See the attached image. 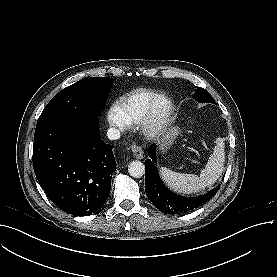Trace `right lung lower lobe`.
<instances>
[{"instance_id":"98d812e1","label":"right lung lower lobe","mask_w":277,"mask_h":277,"mask_svg":"<svg viewBox=\"0 0 277 277\" xmlns=\"http://www.w3.org/2000/svg\"><path fill=\"white\" fill-rule=\"evenodd\" d=\"M96 116L37 123L33 168L48 197L61 210L89 216L106 201L116 162L101 140Z\"/></svg>"}]
</instances>
